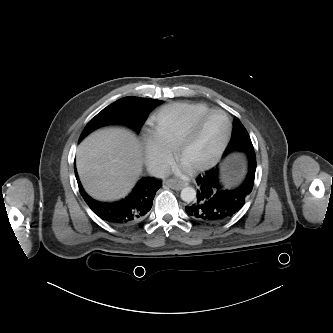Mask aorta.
I'll list each match as a JSON object with an SVG mask.
<instances>
[{"label": "aorta", "mask_w": 333, "mask_h": 333, "mask_svg": "<svg viewBox=\"0 0 333 333\" xmlns=\"http://www.w3.org/2000/svg\"><path fill=\"white\" fill-rule=\"evenodd\" d=\"M180 196L183 201L190 203L196 198V191L188 186L182 189Z\"/></svg>", "instance_id": "1"}]
</instances>
